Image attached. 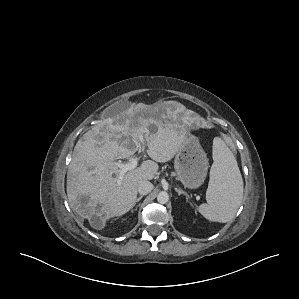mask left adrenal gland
<instances>
[{
	"label": "left adrenal gland",
	"instance_id": "left-adrenal-gland-1",
	"mask_svg": "<svg viewBox=\"0 0 299 299\" xmlns=\"http://www.w3.org/2000/svg\"><path fill=\"white\" fill-rule=\"evenodd\" d=\"M175 191L178 193V195H184L187 198L189 197L188 194L185 191H183L182 189H180V188L179 189L175 188Z\"/></svg>",
	"mask_w": 299,
	"mask_h": 299
}]
</instances>
